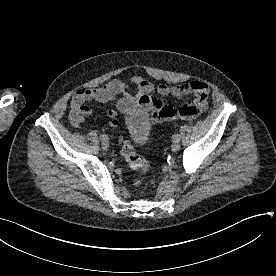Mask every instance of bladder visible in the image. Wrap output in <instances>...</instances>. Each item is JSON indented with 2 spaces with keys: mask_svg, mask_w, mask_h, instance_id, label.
Instances as JSON below:
<instances>
[{
  "mask_svg": "<svg viewBox=\"0 0 276 276\" xmlns=\"http://www.w3.org/2000/svg\"><path fill=\"white\" fill-rule=\"evenodd\" d=\"M125 125L130 139L137 145L144 144L150 134V116L144 111H135L126 116Z\"/></svg>",
  "mask_w": 276,
  "mask_h": 276,
  "instance_id": "obj_1",
  "label": "bladder"
}]
</instances>
